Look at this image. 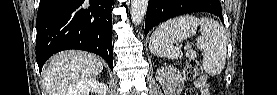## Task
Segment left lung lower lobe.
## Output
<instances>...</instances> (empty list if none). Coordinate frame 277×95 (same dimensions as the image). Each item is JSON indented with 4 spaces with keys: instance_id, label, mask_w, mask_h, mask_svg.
<instances>
[{
    "instance_id": "1",
    "label": "left lung lower lobe",
    "mask_w": 277,
    "mask_h": 95,
    "mask_svg": "<svg viewBox=\"0 0 277 95\" xmlns=\"http://www.w3.org/2000/svg\"><path fill=\"white\" fill-rule=\"evenodd\" d=\"M209 4V0H149L145 21V35L159 23L181 14L206 11L222 19L221 4Z\"/></svg>"
}]
</instances>
